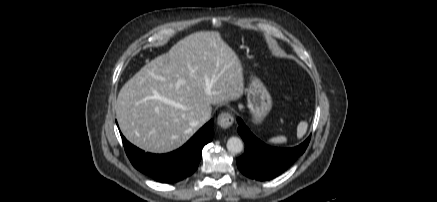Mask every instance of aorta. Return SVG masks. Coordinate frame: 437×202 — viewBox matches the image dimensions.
Masks as SVG:
<instances>
[{
    "instance_id": "obj_1",
    "label": "aorta",
    "mask_w": 437,
    "mask_h": 202,
    "mask_svg": "<svg viewBox=\"0 0 437 202\" xmlns=\"http://www.w3.org/2000/svg\"><path fill=\"white\" fill-rule=\"evenodd\" d=\"M227 149L229 152L237 154L243 150V143L238 137H231L227 141Z\"/></svg>"
}]
</instances>
